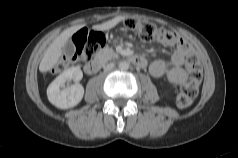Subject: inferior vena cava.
<instances>
[{"label": "inferior vena cava", "instance_id": "obj_1", "mask_svg": "<svg viewBox=\"0 0 238 158\" xmlns=\"http://www.w3.org/2000/svg\"><path fill=\"white\" fill-rule=\"evenodd\" d=\"M113 67H114V64H113V63H109V64H107V65L104 67V70H105V71H110V70L113 69Z\"/></svg>", "mask_w": 238, "mask_h": 158}]
</instances>
